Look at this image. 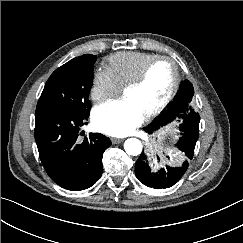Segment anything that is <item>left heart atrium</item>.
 <instances>
[{"label": "left heart atrium", "mask_w": 243, "mask_h": 243, "mask_svg": "<svg viewBox=\"0 0 243 243\" xmlns=\"http://www.w3.org/2000/svg\"><path fill=\"white\" fill-rule=\"evenodd\" d=\"M145 119V115L130 100H116L93 111L94 127L109 136L123 137L131 134Z\"/></svg>", "instance_id": "obj_1"}]
</instances>
